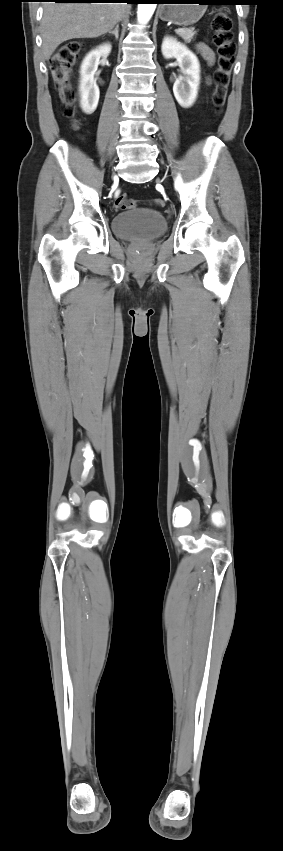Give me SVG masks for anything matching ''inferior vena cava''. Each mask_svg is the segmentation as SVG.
Segmentation results:
<instances>
[{"label":"inferior vena cava","instance_id":"obj_1","mask_svg":"<svg viewBox=\"0 0 283 851\" xmlns=\"http://www.w3.org/2000/svg\"><path fill=\"white\" fill-rule=\"evenodd\" d=\"M124 14H125V12H123V16H124ZM123 16H122V18H123Z\"/></svg>","mask_w":283,"mask_h":851}]
</instances>
